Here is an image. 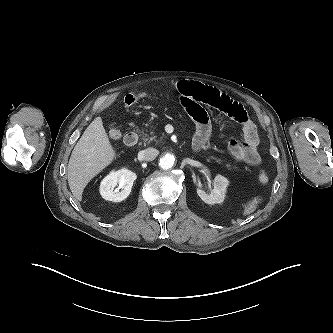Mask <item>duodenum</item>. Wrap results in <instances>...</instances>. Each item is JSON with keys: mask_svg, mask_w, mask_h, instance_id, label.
<instances>
[{"mask_svg": "<svg viewBox=\"0 0 333 333\" xmlns=\"http://www.w3.org/2000/svg\"><path fill=\"white\" fill-rule=\"evenodd\" d=\"M139 136L138 133L135 131H131L127 133L124 137V142L127 146L133 147L138 143Z\"/></svg>", "mask_w": 333, "mask_h": 333, "instance_id": "410a0bca", "label": "duodenum"}]
</instances>
